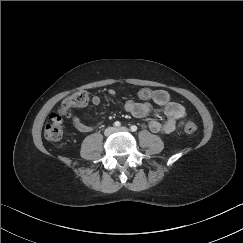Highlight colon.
Returning a JSON list of instances; mask_svg holds the SVG:
<instances>
[{"label":"colon","instance_id":"obj_1","mask_svg":"<svg viewBox=\"0 0 243 243\" xmlns=\"http://www.w3.org/2000/svg\"><path fill=\"white\" fill-rule=\"evenodd\" d=\"M145 96H148L149 93L145 92ZM90 100V93L81 89L66 97L60 108L52 112L50 120L44 127L45 137L53 142H57L62 139L64 134L63 129V116H68L72 109L85 106ZM197 131V125L194 122H187L184 125V132L188 135H193Z\"/></svg>","mask_w":243,"mask_h":243}]
</instances>
